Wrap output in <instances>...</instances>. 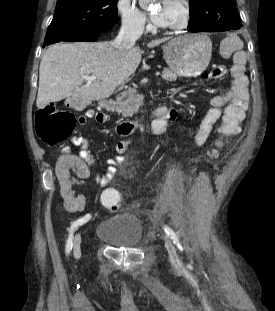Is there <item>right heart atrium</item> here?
I'll return each instance as SVG.
<instances>
[{
  "label": "right heart atrium",
  "instance_id": "1",
  "mask_svg": "<svg viewBox=\"0 0 275 311\" xmlns=\"http://www.w3.org/2000/svg\"><path fill=\"white\" fill-rule=\"evenodd\" d=\"M116 8L122 27L135 33H142L147 29L146 15L133 0H117Z\"/></svg>",
  "mask_w": 275,
  "mask_h": 311
}]
</instances>
